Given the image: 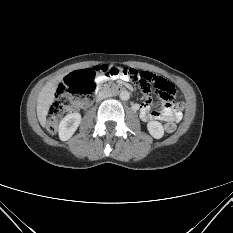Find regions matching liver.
I'll list each match as a JSON object with an SVG mask.
<instances>
[{
    "mask_svg": "<svg viewBox=\"0 0 233 233\" xmlns=\"http://www.w3.org/2000/svg\"><path fill=\"white\" fill-rule=\"evenodd\" d=\"M62 79L63 75L53 78L44 85L38 95L36 111L38 120L42 126H45L46 124V116L51 104L54 101L57 85Z\"/></svg>",
    "mask_w": 233,
    "mask_h": 233,
    "instance_id": "obj_1",
    "label": "liver"
}]
</instances>
